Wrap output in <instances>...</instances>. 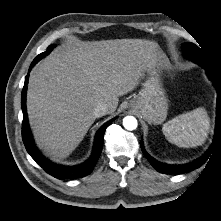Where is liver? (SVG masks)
<instances>
[{
	"instance_id": "6515ba94",
	"label": "liver",
	"mask_w": 221,
	"mask_h": 221,
	"mask_svg": "<svg viewBox=\"0 0 221 221\" xmlns=\"http://www.w3.org/2000/svg\"><path fill=\"white\" fill-rule=\"evenodd\" d=\"M156 42L116 39L69 43L30 73L27 112L38 146L54 160L67 157L83 140L99 103L108 114L118 97L138 86L143 72L161 61Z\"/></svg>"
}]
</instances>
